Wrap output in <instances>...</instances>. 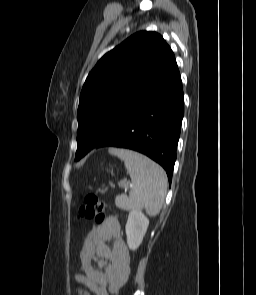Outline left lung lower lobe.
I'll list each match as a JSON object with an SVG mask.
<instances>
[{"label":"left lung lower lobe","mask_w":256,"mask_h":295,"mask_svg":"<svg viewBox=\"0 0 256 295\" xmlns=\"http://www.w3.org/2000/svg\"><path fill=\"white\" fill-rule=\"evenodd\" d=\"M183 115V89L177 70L94 148L113 146L143 153L166 170L171 183Z\"/></svg>","instance_id":"0a47b994"}]
</instances>
